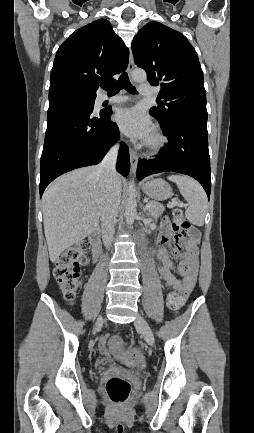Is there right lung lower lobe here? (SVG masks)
<instances>
[{
    "label": "right lung lower lobe",
    "instance_id": "98d812e1",
    "mask_svg": "<svg viewBox=\"0 0 254 433\" xmlns=\"http://www.w3.org/2000/svg\"><path fill=\"white\" fill-rule=\"evenodd\" d=\"M94 105L73 98L50 101L41 155L40 197L55 178L76 168L98 164L119 137L110 109L93 112ZM117 170L130 171L129 151L121 143Z\"/></svg>",
    "mask_w": 254,
    "mask_h": 433
}]
</instances>
